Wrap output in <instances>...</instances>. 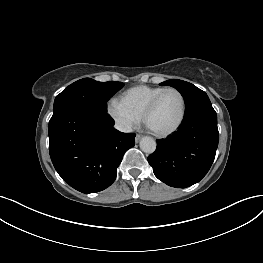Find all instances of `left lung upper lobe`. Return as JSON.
I'll return each instance as SVG.
<instances>
[{
	"label": "left lung upper lobe",
	"mask_w": 263,
	"mask_h": 263,
	"mask_svg": "<svg viewBox=\"0 0 263 263\" xmlns=\"http://www.w3.org/2000/svg\"><path fill=\"white\" fill-rule=\"evenodd\" d=\"M160 85H170L181 93L185 101V115L199 108L212 106L207 94L191 83L178 79H171L162 82Z\"/></svg>",
	"instance_id": "obj_1"
}]
</instances>
